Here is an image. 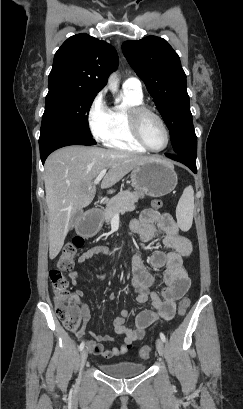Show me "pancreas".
Masks as SVG:
<instances>
[{"mask_svg":"<svg viewBox=\"0 0 243 409\" xmlns=\"http://www.w3.org/2000/svg\"><path fill=\"white\" fill-rule=\"evenodd\" d=\"M138 201V195L130 191H120L116 196L111 198L104 210V218L107 224L116 213H125L134 211L135 203Z\"/></svg>","mask_w":243,"mask_h":409,"instance_id":"cf45deb5","label":"pancreas"}]
</instances>
